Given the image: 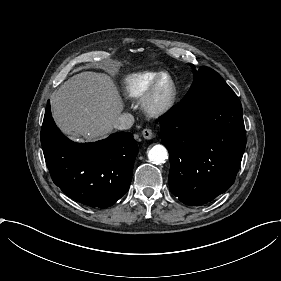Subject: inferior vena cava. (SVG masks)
Returning <instances> with one entry per match:
<instances>
[{
  "mask_svg": "<svg viewBox=\"0 0 281 281\" xmlns=\"http://www.w3.org/2000/svg\"><path fill=\"white\" fill-rule=\"evenodd\" d=\"M134 117L130 113H124L119 119L113 122V127L117 130H127L132 127Z\"/></svg>",
  "mask_w": 281,
  "mask_h": 281,
  "instance_id": "obj_1",
  "label": "inferior vena cava"
}]
</instances>
